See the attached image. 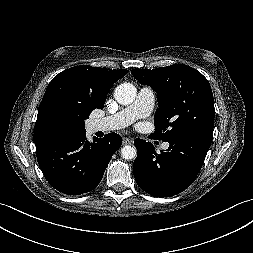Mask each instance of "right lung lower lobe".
<instances>
[{
	"instance_id": "right-lung-lower-lobe-1",
	"label": "right lung lower lobe",
	"mask_w": 253,
	"mask_h": 253,
	"mask_svg": "<svg viewBox=\"0 0 253 253\" xmlns=\"http://www.w3.org/2000/svg\"><path fill=\"white\" fill-rule=\"evenodd\" d=\"M122 138L116 133L86 139V133L54 134L36 143L39 166L56 190L79 195L97 187Z\"/></svg>"
}]
</instances>
